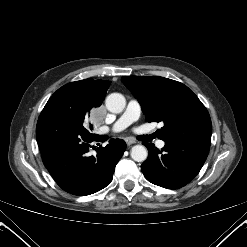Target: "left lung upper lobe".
Masks as SVG:
<instances>
[{
    "label": "left lung upper lobe",
    "mask_w": 247,
    "mask_h": 247,
    "mask_svg": "<svg viewBox=\"0 0 247 247\" xmlns=\"http://www.w3.org/2000/svg\"><path fill=\"white\" fill-rule=\"evenodd\" d=\"M123 84L139 101L146 120L162 121L163 141L189 133H212L209 113L184 84L159 76H123Z\"/></svg>",
    "instance_id": "1"
}]
</instances>
